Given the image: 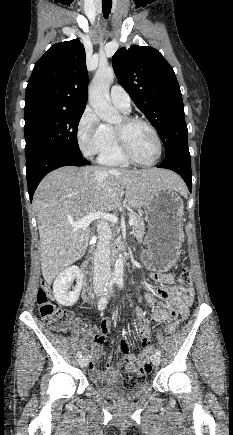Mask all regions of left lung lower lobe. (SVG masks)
Instances as JSON below:
<instances>
[{"instance_id": "left-lung-lower-lobe-1", "label": "left lung lower lobe", "mask_w": 233, "mask_h": 435, "mask_svg": "<svg viewBox=\"0 0 233 435\" xmlns=\"http://www.w3.org/2000/svg\"><path fill=\"white\" fill-rule=\"evenodd\" d=\"M158 168H166L178 173L188 186L191 192L192 174H191V156L188 145H183L172 150L166 155L162 164Z\"/></svg>"}]
</instances>
